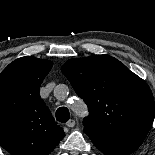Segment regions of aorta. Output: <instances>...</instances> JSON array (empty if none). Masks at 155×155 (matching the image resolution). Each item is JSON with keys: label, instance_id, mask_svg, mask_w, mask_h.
I'll list each match as a JSON object with an SVG mask.
<instances>
[{"label": "aorta", "instance_id": "aorta-1", "mask_svg": "<svg viewBox=\"0 0 155 155\" xmlns=\"http://www.w3.org/2000/svg\"><path fill=\"white\" fill-rule=\"evenodd\" d=\"M68 93H69V88L65 84H59L54 89V95L59 100L65 99L67 97ZM76 109L80 113H83L86 110V108L83 104H80L79 106H77Z\"/></svg>", "mask_w": 155, "mask_h": 155}]
</instances>
